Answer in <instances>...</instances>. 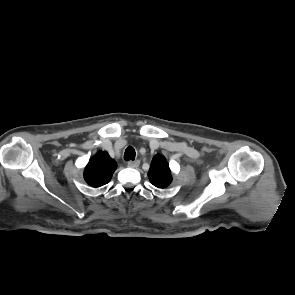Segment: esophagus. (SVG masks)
<instances>
[{
  "instance_id": "1",
  "label": "esophagus",
  "mask_w": 295,
  "mask_h": 295,
  "mask_svg": "<svg viewBox=\"0 0 295 295\" xmlns=\"http://www.w3.org/2000/svg\"><path fill=\"white\" fill-rule=\"evenodd\" d=\"M140 164V161L139 160H135V161H129L128 162V167H131V168H137Z\"/></svg>"
}]
</instances>
